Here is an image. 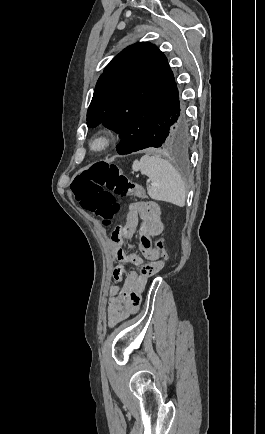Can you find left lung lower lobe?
<instances>
[{
  "label": "left lung lower lobe",
  "mask_w": 265,
  "mask_h": 434,
  "mask_svg": "<svg viewBox=\"0 0 265 434\" xmlns=\"http://www.w3.org/2000/svg\"><path fill=\"white\" fill-rule=\"evenodd\" d=\"M164 115L160 125L142 129L137 134L122 139L117 145L118 153L124 155L143 149H149L153 153H186L191 139L189 127L181 115L179 100Z\"/></svg>",
  "instance_id": "obj_1"
}]
</instances>
